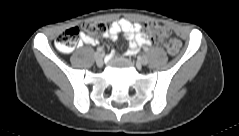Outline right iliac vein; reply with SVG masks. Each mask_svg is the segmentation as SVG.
Wrapping results in <instances>:
<instances>
[{
  "mask_svg": "<svg viewBox=\"0 0 239 136\" xmlns=\"http://www.w3.org/2000/svg\"><path fill=\"white\" fill-rule=\"evenodd\" d=\"M95 60L98 66L103 65V53L101 52H96L95 53Z\"/></svg>",
  "mask_w": 239,
  "mask_h": 136,
  "instance_id": "right-iliac-vein-1",
  "label": "right iliac vein"
}]
</instances>
